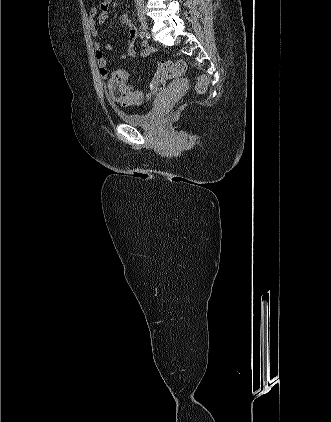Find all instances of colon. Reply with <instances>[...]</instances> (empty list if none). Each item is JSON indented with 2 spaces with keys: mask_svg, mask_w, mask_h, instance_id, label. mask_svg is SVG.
Instances as JSON below:
<instances>
[{
  "mask_svg": "<svg viewBox=\"0 0 331 422\" xmlns=\"http://www.w3.org/2000/svg\"><path fill=\"white\" fill-rule=\"evenodd\" d=\"M186 72V64L184 61H163L158 66V73L161 77L172 79L184 75ZM208 85V80L205 76L197 79L196 91L204 93ZM108 89L110 96L119 102L130 101L131 104H141L142 94L134 91L128 84V75L123 70L114 71L108 81Z\"/></svg>",
  "mask_w": 331,
  "mask_h": 422,
  "instance_id": "colon-1",
  "label": "colon"
}]
</instances>
